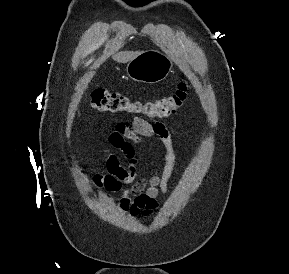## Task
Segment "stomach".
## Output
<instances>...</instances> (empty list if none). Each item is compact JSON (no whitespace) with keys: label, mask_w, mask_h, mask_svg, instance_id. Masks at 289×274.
<instances>
[{"label":"stomach","mask_w":289,"mask_h":274,"mask_svg":"<svg viewBox=\"0 0 289 274\" xmlns=\"http://www.w3.org/2000/svg\"><path fill=\"white\" fill-rule=\"evenodd\" d=\"M173 67L170 57L155 49L147 50L128 62L126 71L130 79L149 84L164 80Z\"/></svg>","instance_id":"stomach-1"}]
</instances>
